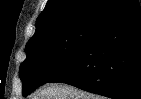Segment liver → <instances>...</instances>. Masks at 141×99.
I'll return each mask as SVG.
<instances>
[{"label": "liver", "instance_id": "obj_1", "mask_svg": "<svg viewBox=\"0 0 141 99\" xmlns=\"http://www.w3.org/2000/svg\"><path fill=\"white\" fill-rule=\"evenodd\" d=\"M31 99H104L66 84H51L36 91Z\"/></svg>", "mask_w": 141, "mask_h": 99}]
</instances>
